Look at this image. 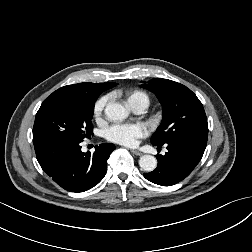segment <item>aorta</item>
<instances>
[{
    "label": "aorta",
    "mask_w": 252,
    "mask_h": 252,
    "mask_svg": "<svg viewBox=\"0 0 252 252\" xmlns=\"http://www.w3.org/2000/svg\"><path fill=\"white\" fill-rule=\"evenodd\" d=\"M105 114L111 121H122L128 117L127 109L117 102H110L105 107ZM139 166L146 172L153 171L157 166V160L152 155H143L139 159Z\"/></svg>",
    "instance_id": "1"
}]
</instances>
